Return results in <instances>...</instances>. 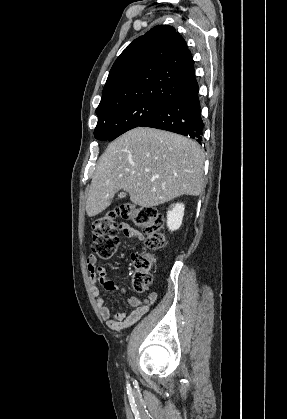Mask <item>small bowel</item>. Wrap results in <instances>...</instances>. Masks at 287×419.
I'll list each match as a JSON object with an SVG mask.
<instances>
[{
	"instance_id": "c3829d8e",
	"label": "small bowel",
	"mask_w": 287,
	"mask_h": 419,
	"mask_svg": "<svg viewBox=\"0 0 287 419\" xmlns=\"http://www.w3.org/2000/svg\"><path fill=\"white\" fill-rule=\"evenodd\" d=\"M122 233L134 240L143 241L144 237L141 233L131 228L129 225L123 223L120 225ZM126 249L135 250L134 247L126 245ZM88 270L90 272L91 282L93 284L92 293L97 299V307L99 309L101 317L107 322V325L114 330H122L133 325L137 322L150 308L155 300V295L151 294L142 299L136 297H130L127 299V305L132 310H125L123 312L111 314L110 309L105 305L104 299L100 296V290L98 284L102 285L108 291L119 290L125 292L123 287L116 282L107 278V271L104 267H98L96 265V258L90 256L87 260Z\"/></svg>"
}]
</instances>
